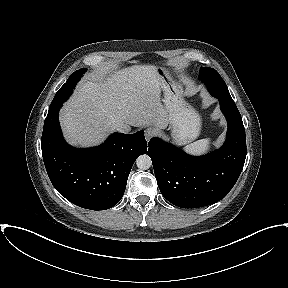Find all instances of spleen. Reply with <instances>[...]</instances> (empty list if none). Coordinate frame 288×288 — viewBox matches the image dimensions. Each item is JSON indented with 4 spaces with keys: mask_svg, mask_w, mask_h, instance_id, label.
Wrapping results in <instances>:
<instances>
[{
    "mask_svg": "<svg viewBox=\"0 0 288 288\" xmlns=\"http://www.w3.org/2000/svg\"><path fill=\"white\" fill-rule=\"evenodd\" d=\"M210 139H201L187 145L184 150L193 155H202L210 149Z\"/></svg>",
    "mask_w": 288,
    "mask_h": 288,
    "instance_id": "3e777b00",
    "label": "spleen"
}]
</instances>
